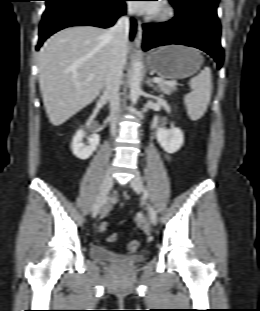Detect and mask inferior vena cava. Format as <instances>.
Masks as SVG:
<instances>
[{"mask_svg":"<svg viewBox=\"0 0 260 311\" xmlns=\"http://www.w3.org/2000/svg\"><path fill=\"white\" fill-rule=\"evenodd\" d=\"M132 9H128V16H122L116 24L107 30L106 36L111 39L112 48L109 57V67L105 80L104 96L110 102L111 134L117 132V121L120 113V85L122 82L123 68L126 62V46L128 43L130 19Z\"/></svg>","mask_w":260,"mask_h":311,"instance_id":"602c4592","label":"inferior vena cava"}]
</instances>
